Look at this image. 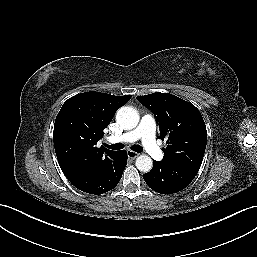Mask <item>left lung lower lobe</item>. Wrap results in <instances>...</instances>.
Masks as SVG:
<instances>
[{"label": "left lung lower lobe", "instance_id": "0a47b994", "mask_svg": "<svg viewBox=\"0 0 257 257\" xmlns=\"http://www.w3.org/2000/svg\"><path fill=\"white\" fill-rule=\"evenodd\" d=\"M198 171L184 165L154 161L152 170L143 175L147 185L161 194H172L187 187Z\"/></svg>", "mask_w": 257, "mask_h": 257}]
</instances>
